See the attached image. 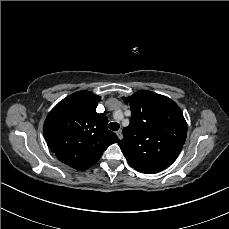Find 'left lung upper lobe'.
Listing matches in <instances>:
<instances>
[{"instance_id":"left-lung-upper-lobe-1","label":"left lung upper lobe","mask_w":229,"mask_h":229,"mask_svg":"<svg viewBox=\"0 0 229 229\" xmlns=\"http://www.w3.org/2000/svg\"><path fill=\"white\" fill-rule=\"evenodd\" d=\"M123 100L130 104V124L118 143L128 163L141 173L154 174L170 166L186 140L187 123L170 98L141 90Z\"/></svg>"}]
</instances>
